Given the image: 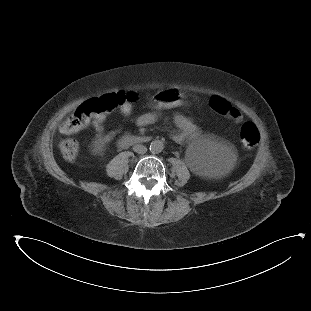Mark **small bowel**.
<instances>
[{
	"mask_svg": "<svg viewBox=\"0 0 311 311\" xmlns=\"http://www.w3.org/2000/svg\"><path fill=\"white\" fill-rule=\"evenodd\" d=\"M162 115L161 111H149L139 115L136 121L140 126H148L159 120ZM172 118L178 127V130L173 135L175 142L179 144H193L203 139L202 130L191 118L180 113H174ZM105 120L106 114L100 113L93 117L91 123L96 135L103 141L110 142L115 137V132H105Z\"/></svg>",
	"mask_w": 311,
	"mask_h": 311,
	"instance_id": "c3829d8e",
	"label": "small bowel"
}]
</instances>
